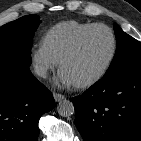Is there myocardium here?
I'll return each mask as SVG.
<instances>
[{
	"instance_id": "myocardium-1",
	"label": "myocardium",
	"mask_w": 141,
	"mask_h": 141,
	"mask_svg": "<svg viewBox=\"0 0 141 141\" xmlns=\"http://www.w3.org/2000/svg\"><path fill=\"white\" fill-rule=\"evenodd\" d=\"M96 29H104L109 33V35L111 37V42H112L111 51L108 56V59L106 60L105 64L103 65V67L93 77H91L83 82L74 83V86L78 89H86V88L92 87L93 85L97 84L100 80H102L103 77L109 71V69L115 59L116 52H117V38H116L113 30L105 24H101V23L93 24L92 26L86 28L80 34L77 35V37L73 40V42L69 45V47L63 52V54L60 56V58L58 60V66L61 69L63 63L77 51V49L81 45L84 38L90 32H92L93 30H96Z\"/></svg>"
}]
</instances>
